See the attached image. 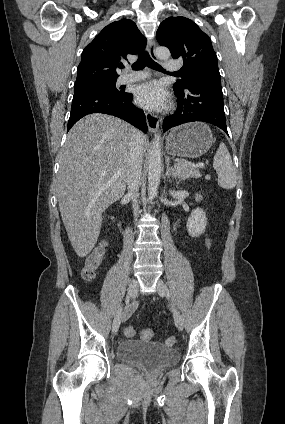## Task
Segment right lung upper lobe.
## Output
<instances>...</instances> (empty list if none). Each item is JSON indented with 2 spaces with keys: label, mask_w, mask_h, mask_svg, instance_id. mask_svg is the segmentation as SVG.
<instances>
[{
  "label": "right lung upper lobe",
  "mask_w": 285,
  "mask_h": 424,
  "mask_svg": "<svg viewBox=\"0 0 285 424\" xmlns=\"http://www.w3.org/2000/svg\"><path fill=\"white\" fill-rule=\"evenodd\" d=\"M146 42L129 19L107 25L83 50L75 84L117 80L116 68L122 65L121 60L143 50Z\"/></svg>",
  "instance_id": "obj_1"
}]
</instances>
